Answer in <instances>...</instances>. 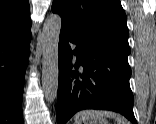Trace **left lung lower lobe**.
I'll return each instance as SVG.
<instances>
[{
	"label": "left lung lower lobe",
	"instance_id": "obj_1",
	"mask_svg": "<svg viewBox=\"0 0 156 124\" xmlns=\"http://www.w3.org/2000/svg\"><path fill=\"white\" fill-rule=\"evenodd\" d=\"M58 57L57 124H65L83 109L112 110L137 124L127 55L62 26ZM74 60L76 70L72 71ZM80 65L84 68L82 73L78 71Z\"/></svg>",
	"mask_w": 156,
	"mask_h": 124
}]
</instances>
